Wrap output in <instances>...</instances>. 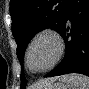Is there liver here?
I'll return each mask as SVG.
<instances>
[{
  "label": "liver",
  "instance_id": "6515ba94",
  "mask_svg": "<svg viewBox=\"0 0 89 89\" xmlns=\"http://www.w3.org/2000/svg\"><path fill=\"white\" fill-rule=\"evenodd\" d=\"M55 80L56 78L47 79L43 81L39 86H37V89H47L49 86H51L55 82Z\"/></svg>",
  "mask_w": 89,
  "mask_h": 89
}]
</instances>
